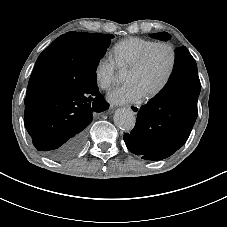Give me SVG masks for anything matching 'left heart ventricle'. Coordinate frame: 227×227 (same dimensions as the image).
<instances>
[{
  "label": "left heart ventricle",
  "instance_id": "1",
  "mask_svg": "<svg viewBox=\"0 0 227 227\" xmlns=\"http://www.w3.org/2000/svg\"><path fill=\"white\" fill-rule=\"evenodd\" d=\"M169 61V52L165 48H159L142 71H129L126 82L128 84H136L146 94H149L162 82L167 72Z\"/></svg>",
  "mask_w": 227,
  "mask_h": 227
}]
</instances>
